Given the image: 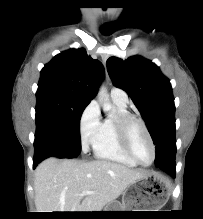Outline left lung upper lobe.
<instances>
[{
  "mask_svg": "<svg viewBox=\"0 0 203 219\" xmlns=\"http://www.w3.org/2000/svg\"><path fill=\"white\" fill-rule=\"evenodd\" d=\"M113 84L123 89L142 114L156 145L155 164L176 155L175 105L169 80L151 61L133 56L107 60Z\"/></svg>",
  "mask_w": 203,
  "mask_h": 219,
  "instance_id": "1",
  "label": "left lung upper lobe"
}]
</instances>
